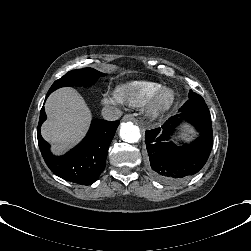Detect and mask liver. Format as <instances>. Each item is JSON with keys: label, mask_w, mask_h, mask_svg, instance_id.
Here are the masks:
<instances>
[{"label": "liver", "mask_w": 251, "mask_h": 251, "mask_svg": "<svg viewBox=\"0 0 251 251\" xmlns=\"http://www.w3.org/2000/svg\"><path fill=\"white\" fill-rule=\"evenodd\" d=\"M47 119L41 124L42 138L53 156H62L87 135L93 114L86 101L71 87L52 92L44 105Z\"/></svg>", "instance_id": "liver-1"}]
</instances>
